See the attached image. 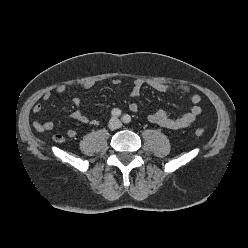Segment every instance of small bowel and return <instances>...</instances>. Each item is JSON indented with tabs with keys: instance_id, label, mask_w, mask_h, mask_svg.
I'll return each mask as SVG.
<instances>
[{
	"instance_id": "small-bowel-1",
	"label": "small bowel",
	"mask_w": 248,
	"mask_h": 248,
	"mask_svg": "<svg viewBox=\"0 0 248 248\" xmlns=\"http://www.w3.org/2000/svg\"><path fill=\"white\" fill-rule=\"evenodd\" d=\"M112 83L114 85H119L121 83V80L118 78H115L112 80ZM94 84H95L94 81H87V82L82 83L80 86L83 89H89L93 87ZM144 85H147L156 91L164 92V93L179 92L183 94H191L190 87L183 85V84L174 85V84H169V83L156 81V80L144 81L141 79H136L133 82V85L131 87L130 96L138 97L141 94V91ZM67 92H70V88H67L64 85H60L55 88V93L58 95H62ZM51 96H52L51 92H46L43 94L42 100L48 101L50 100ZM201 101H202L201 97L198 94H192L190 95L191 109L189 112L181 116H178V117H171L164 110H157L151 113L148 116V119L151 123H154L163 128H167L171 130L190 127L202 112ZM72 102L75 106V110L71 113L72 119L78 122H81V123H88L93 126L98 125V120L89 118L87 114L84 112V110L82 109V100L80 97L74 96L72 98ZM129 109L132 112L136 113L139 111V106L137 103H131L129 105ZM41 110H42V105L40 103H35L33 105L32 111L35 114L40 113ZM33 127L38 132L51 131L54 129V123L51 121L42 120L38 118L34 120ZM76 135H77V132L74 129H69L67 131V137L69 138H75ZM53 139L57 142H62L64 140V137L60 134H56L54 135Z\"/></svg>"
}]
</instances>
